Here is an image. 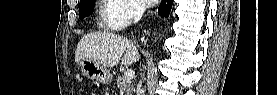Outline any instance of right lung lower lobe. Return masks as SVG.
Masks as SVG:
<instances>
[{
  "label": "right lung lower lobe",
  "mask_w": 277,
  "mask_h": 95,
  "mask_svg": "<svg viewBox=\"0 0 277 95\" xmlns=\"http://www.w3.org/2000/svg\"><path fill=\"white\" fill-rule=\"evenodd\" d=\"M173 0H162L159 8H158V14L162 17L169 16V13L171 11Z\"/></svg>",
  "instance_id": "obj_1"
}]
</instances>
